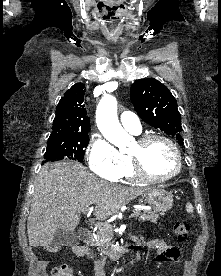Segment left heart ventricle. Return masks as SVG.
<instances>
[{"instance_id": "b2bd125f", "label": "left heart ventricle", "mask_w": 221, "mask_h": 276, "mask_svg": "<svg viewBox=\"0 0 221 276\" xmlns=\"http://www.w3.org/2000/svg\"><path fill=\"white\" fill-rule=\"evenodd\" d=\"M131 154H137L141 157L146 171L152 176L164 177L173 173L176 168L174 152L162 140H154L144 147H140L136 142Z\"/></svg>"}]
</instances>
